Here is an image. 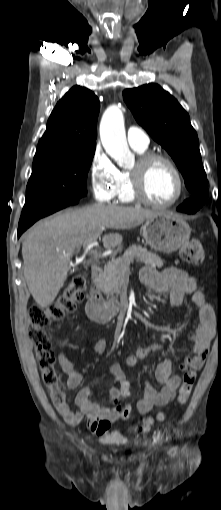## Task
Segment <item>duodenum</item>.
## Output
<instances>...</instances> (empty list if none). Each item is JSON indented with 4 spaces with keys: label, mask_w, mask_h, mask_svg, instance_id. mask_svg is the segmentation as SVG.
Instances as JSON below:
<instances>
[{
    "label": "duodenum",
    "mask_w": 221,
    "mask_h": 510,
    "mask_svg": "<svg viewBox=\"0 0 221 510\" xmlns=\"http://www.w3.org/2000/svg\"><path fill=\"white\" fill-rule=\"evenodd\" d=\"M102 272V267L97 264L91 267L92 285L89 289L88 299L85 304V311L88 318L99 324L108 322L122 309L119 302L114 300L106 302L103 299L99 288Z\"/></svg>",
    "instance_id": "410a0bca"
}]
</instances>
